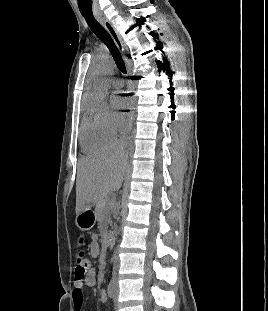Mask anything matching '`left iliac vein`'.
<instances>
[{
	"mask_svg": "<svg viewBox=\"0 0 268 311\" xmlns=\"http://www.w3.org/2000/svg\"><path fill=\"white\" fill-rule=\"evenodd\" d=\"M114 309L115 311H118V285L117 283L115 282V285H114Z\"/></svg>",
	"mask_w": 268,
	"mask_h": 311,
	"instance_id": "1",
	"label": "left iliac vein"
}]
</instances>
